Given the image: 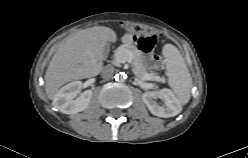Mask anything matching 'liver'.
<instances>
[{
	"label": "liver",
	"mask_w": 248,
	"mask_h": 158,
	"mask_svg": "<svg viewBox=\"0 0 248 158\" xmlns=\"http://www.w3.org/2000/svg\"><path fill=\"white\" fill-rule=\"evenodd\" d=\"M116 40V33L105 26L86 28L64 39L46 71L48 98L55 99L59 88L70 81L97 75L102 70V54L107 43Z\"/></svg>",
	"instance_id": "6515ba94"
}]
</instances>
